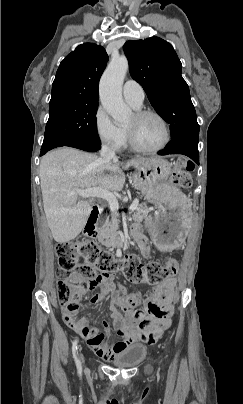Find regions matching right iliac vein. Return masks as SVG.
Listing matches in <instances>:
<instances>
[{"label": "right iliac vein", "instance_id": "right-iliac-vein-1", "mask_svg": "<svg viewBox=\"0 0 243 404\" xmlns=\"http://www.w3.org/2000/svg\"><path fill=\"white\" fill-rule=\"evenodd\" d=\"M80 359H81L82 362L84 363V357H83L82 353H80Z\"/></svg>", "mask_w": 243, "mask_h": 404}]
</instances>
